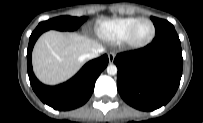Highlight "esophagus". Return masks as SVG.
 Returning <instances> with one entry per match:
<instances>
[{"label": "esophagus", "instance_id": "obj_1", "mask_svg": "<svg viewBox=\"0 0 203 123\" xmlns=\"http://www.w3.org/2000/svg\"><path fill=\"white\" fill-rule=\"evenodd\" d=\"M108 59H109V63H113L114 59H115V54L114 53H109L108 54Z\"/></svg>", "mask_w": 203, "mask_h": 123}]
</instances>
